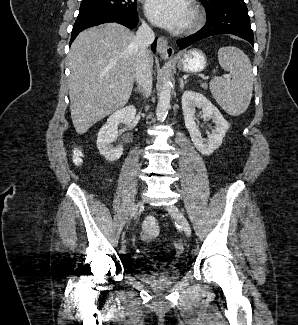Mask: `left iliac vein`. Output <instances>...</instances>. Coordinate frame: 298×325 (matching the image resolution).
Masks as SVG:
<instances>
[{
	"mask_svg": "<svg viewBox=\"0 0 298 325\" xmlns=\"http://www.w3.org/2000/svg\"><path fill=\"white\" fill-rule=\"evenodd\" d=\"M168 212L171 216L176 219V221L180 224L183 231L187 236H191V228L190 225L185 218V216L180 212V210L175 205H170L167 207Z\"/></svg>",
	"mask_w": 298,
	"mask_h": 325,
	"instance_id": "obj_1",
	"label": "left iliac vein"
}]
</instances>
